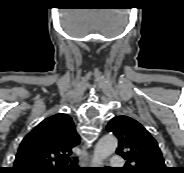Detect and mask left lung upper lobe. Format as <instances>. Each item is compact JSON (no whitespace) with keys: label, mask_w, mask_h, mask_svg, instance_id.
I'll return each mask as SVG.
<instances>
[{"label":"left lung upper lobe","mask_w":184,"mask_h":173,"mask_svg":"<svg viewBox=\"0 0 184 173\" xmlns=\"http://www.w3.org/2000/svg\"><path fill=\"white\" fill-rule=\"evenodd\" d=\"M106 129L119 140L116 153L127 160L124 173H167L156 140L139 122L128 116H118Z\"/></svg>","instance_id":"left-lung-upper-lobe-1"}]
</instances>
